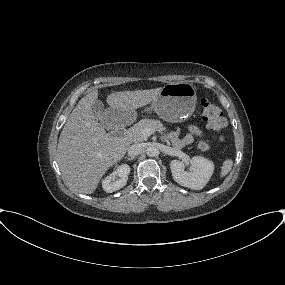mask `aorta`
Segmentation results:
<instances>
[{
    "mask_svg": "<svg viewBox=\"0 0 285 285\" xmlns=\"http://www.w3.org/2000/svg\"><path fill=\"white\" fill-rule=\"evenodd\" d=\"M146 154L149 156V157H155L159 154V150L157 149V147L155 146H149L147 149H146Z\"/></svg>",
    "mask_w": 285,
    "mask_h": 285,
    "instance_id": "aorta-1",
    "label": "aorta"
}]
</instances>
